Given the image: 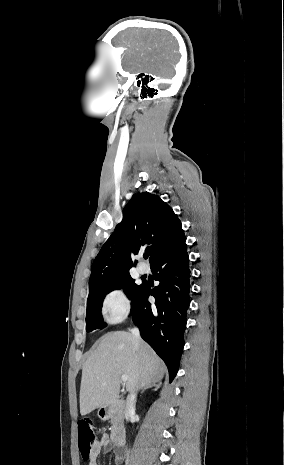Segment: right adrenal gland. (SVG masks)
<instances>
[{"label":"right adrenal gland","instance_id":"right-adrenal-gland-1","mask_svg":"<svg viewBox=\"0 0 284 465\" xmlns=\"http://www.w3.org/2000/svg\"><path fill=\"white\" fill-rule=\"evenodd\" d=\"M157 385H155V383H152L153 387H155V389H153V391H158V389H160L161 387V383L160 381H156ZM145 389H150V385H148V387H144L143 391H141V395L142 393H144Z\"/></svg>","mask_w":284,"mask_h":465}]
</instances>
